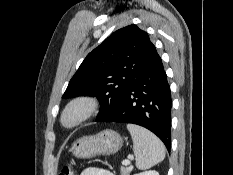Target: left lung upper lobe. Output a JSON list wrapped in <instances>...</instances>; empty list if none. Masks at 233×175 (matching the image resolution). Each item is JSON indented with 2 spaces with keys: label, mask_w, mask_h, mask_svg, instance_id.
<instances>
[{
  "label": "left lung upper lobe",
  "mask_w": 233,
  "mask_h": 175,
  "mask_svg": "<svg viewBox=\"0 0 233 175\" xmlns=\"http://www.w3.org/2000/svg\"><path fill=\"white\" fill-rule=\"evenodd\" d=\"M155 51L148 34L136 25L115 31L87 55L62 98L96 96L101 103L96 121H100L116 108Z\"/></svg>",
  "instance_id": "5c2ea615"
}]
</instances>
